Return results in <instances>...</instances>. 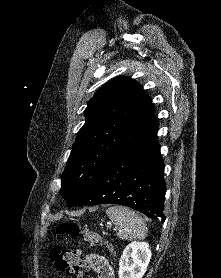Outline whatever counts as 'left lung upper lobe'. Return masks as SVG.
I'll return each instance as SVG.
<instances>
[{"label": "left lung upper lobe", "mask_w": 221, "mask_h": 278, "mask_svg": "<svg viewBox=\"0 0 221 278\" xmlns=\"http://www.w3.org/2000/svg\"><path fill=\"white\" fill-rule=\"evenodd\" d=\"M62 175L60 192L75 206L110 161L157 123L151 98L128 76L116 77L97 90L85 110Z\"/></svg>", "instance_id": "obj_1"}]
</instances>
